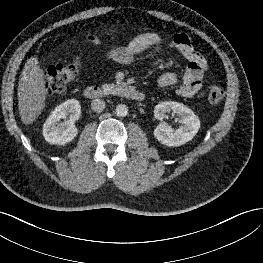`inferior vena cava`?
<instances>
[{
	"label": "inferior vena cava",
	"instance_id": "1",
	"mask_svg": "<svg viewBox=\"0 0 263 263\" xmlns=\"http://www.w3.org/2000/svg\"><path fill=\"white\" fill-rule=\"evenodd\" d=\"M91 108L94 111L100 112L105 108V101L99 98L94 99L91 102Z\"/></svg>",
	"mask_w": 263,
	"mask_h": 263
}]
</instances>
